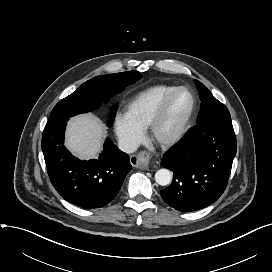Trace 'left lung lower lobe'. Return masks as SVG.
<instances>
[{
  "instance_id": "obj_1",
  "label": "left lung lower lobe",
  "mask_w": 272,
  "mask_h": 272,
  "mask_svg": "<svg viewBox=\"0 0 272 272\" xmlns=\"http://www.w3.org/2000/svg\"><path fill=\"white\" fill-rule=\"evenodd\" d=\"M230 116L197 124L163 156L161 166L173 171L162 198L179 211L191 212L214 203L224 192L236 154Z\"/></svg>"
}]
</instances>
